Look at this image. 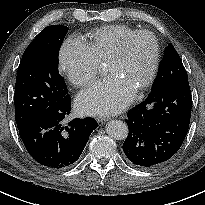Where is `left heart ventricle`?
<instances>
[{
  "label": "left heart ventricle",
  "instance_id": "obj_1",
  "mask_svg": "<svg viewBox=\"0 0 205 205\" xmlns=\"http://www.w3.org/2000/svg\"><path fill=\"white\" fill-rule=\"evenodd\" d=\"M153 42L148 36L135 38L129 45L126 56L115 63H107L110 75L124 80L135 91L146 80L153 60Z\"/></svg>",
  "mask_w": 205,
  "mask_h": 205
}]
</instances>
